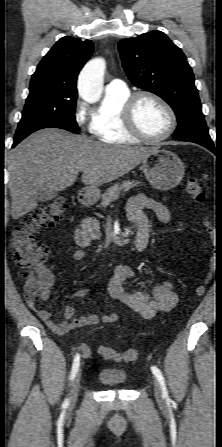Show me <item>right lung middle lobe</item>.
<instances>
[{"label":"right lung middle lobe","instance_id":"1","mask_svg":"<svg viewBox=\"0 0 222 447\" xmlns=\"http://www.w3.org/2000/svg\"><path fill=\"white\" fill-rule=\"evenodd\" d=\"M29 90L14 142H20L42 128L78 131L74 116L76 95L56 92L46 85L31 87Z\"/></svg>","mask_w":222,"mask_h":447}]
</instances>
